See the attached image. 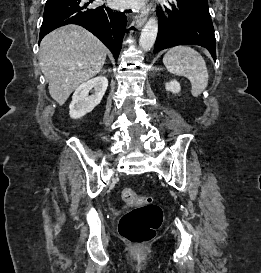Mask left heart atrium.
Here are the masks:
<instances>
[{"mask_svg": "<svg viewBox=\"0 0 261 273\" xmlns=\"http://www.w3.org/2000/svg\"><path fill=\"white\" fill-rule=\"evenodd\" d=\"M143 0H114L115 5L119 7L124 6H132V7H140L142 5Z\"/></svg>", "mask_w": 261, "mask_h": 273, "instance_id": "39dd6f15", "label": "left heart atrium"}]
</instances>
